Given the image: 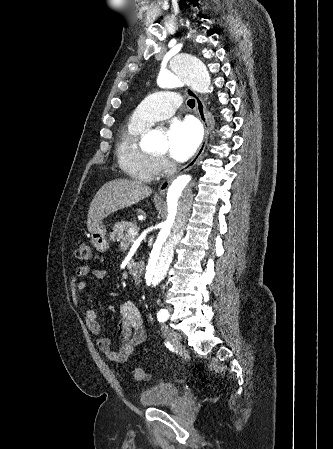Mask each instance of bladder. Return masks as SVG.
<instances>
[{
    "label": "bladder",
    "instance_id": "bladder-1",
    "mask_svg": "<svg viewBox=\"0 0 333 449\" xmlns=\"http://www.w3.org/2000/svg\"><path fill=\"white\" fill-rule=\"evenodd\" d=\"M180 396L179 388L170 382H159L144 390L139 402L143 407H166L177 402Z\"/></svg>",
    "mask_w": 333,
    "mask_h": 449
}]
</instances>
